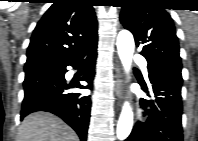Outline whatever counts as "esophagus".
<instances>
[{
    "label": "esophagus",
    "mask_w": 198,
    "mask_h": 141,
    "mask_svg": "<svg viewBox=\"0 0 198 141\" xmlns=\"http://www.w3.org/2000/svg\"><path fill=\"white\" fill-rule=\"evenodd\" d=\"M115 94L120 106L124 99V80L122 66L118 61L115 67Z\"/></svg>",
    "instance_id": "1"
}]
</instances>
